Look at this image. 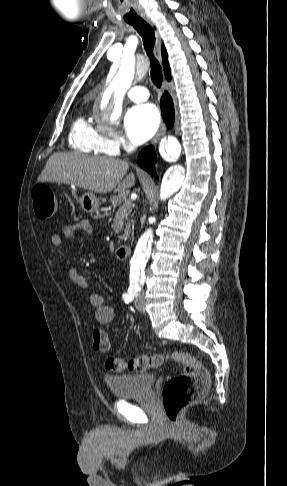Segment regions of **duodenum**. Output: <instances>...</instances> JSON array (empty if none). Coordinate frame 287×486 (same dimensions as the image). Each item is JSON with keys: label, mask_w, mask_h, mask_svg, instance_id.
I'll return each mask as SVG.
<instances>
[{"label": "duodenum", "mask_w": 287, "mask_h": 486, "mask_svg": "<svg viewBox=\"0 0 287 486\" xmlns=\"http://www.w3.org/2000/svg\"><path fill=\"white\" fill-rule=\"evenodd\" d=\"M130 253H131V246L127 244L120 245L116 249V257L119 260L126 259L130 255Z\"/></svg>", "instance_id": "obj_1"}]
</instances>
